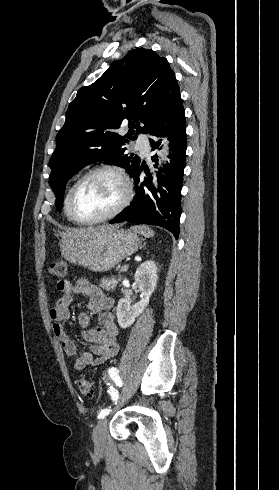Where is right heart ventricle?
Segmentation results:
<instances>
[{
  "label": "right heart ventricle",
  "mask_w": 279,
  "mask_h": 490,
  "mask_svg": "<svg viewBox=\"0 0 279 490\" xmlns=\"http://www.w3.org/2000/svg\"><path fill=\"white\" fill-rule=\"evenodd\" d=\"M75 181H76V179H72L68 183L66 190H65V194H64V200H63V214H64L65 218L69 222H72V223L74 222V220L72 219L71 214H70L69 203H70L71 190H72V187H73Z\"/></svg>",
  "instance_id": "right-heart-ventricle-1"
}]
</instances>
